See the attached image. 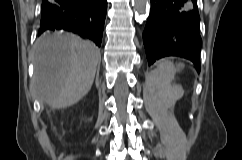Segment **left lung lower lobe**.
Here are the masks:
<instances>
[{
    "mask_svg": "<svg viewBox=\"0 0 242 160\" xmlns=\"http://www.w3.org/2000/svg\"><path fill=\"white\" fill-rule=\"evenodd\" d=\"M199 22L197 0H151L143 33L149 65L166 56H179L200 71Z\"/></svg>",
    "mask_w": 242,
    "mask_h": 160,
    "instance_id": "1",
    "label": "left lung lower lobe"
}]
</instances>
